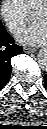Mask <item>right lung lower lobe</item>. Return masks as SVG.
Wrapping results in <instances>:
<instances>
[{
    "instance_id": "1",
    "label": "right lung lower lobe",
    "mask_w": 47,
    "mask_h": 129,
    "mask_svg": "<svg viewBox=\"0 0 47 129\" xmlns=\"http://www.w3.org/2000/svg\"><path fill=\"white\" fill-rule=\"evenodd\" d=\"M21 52V46L15 44L14 39L0 23V89L5 86L11 75V58Z\"/></svg>"
}]
</instances>
